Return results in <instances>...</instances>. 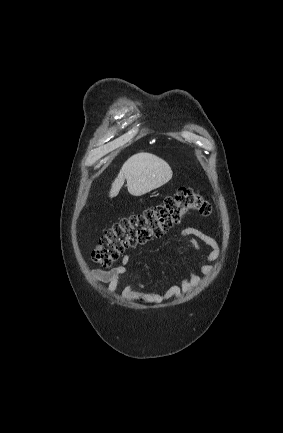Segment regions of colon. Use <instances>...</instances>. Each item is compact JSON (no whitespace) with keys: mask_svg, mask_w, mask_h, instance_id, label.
<instances>
[{"mask_svg":"<svg viewBox=\"0 0 283 433\" xmlns=\"http://www.w3.org/2000/svg\"><path fill=\"white\" fill-rule=\"evenodd\" d=\"M188 213L210 217L213 209L198 191L182 187L162 203L114 223L99 239L92 259L105 268L110 267L127 249L161 237Z\"/></svg>","mask_w":283,"mask_h":433,"instance_id":"1","label":"colon"}]
</instances>
